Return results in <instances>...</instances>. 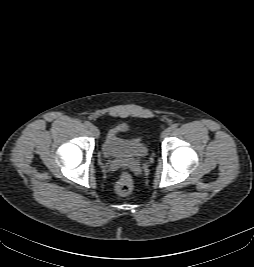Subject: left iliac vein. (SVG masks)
<instances>
[{"instance_id": "left-iliac-vein-1", "label": "left iliac vein", "mask_w": 254, "mask_h": 267, "mask_svg": "<svg viewBox=\"0 0 254 267\" xmlns=\"http://www.w3.org/2000/svg\"><path fill=\"white\" fill-rule=\"evenodd\" d=\"M171 132H172V129H171L170 127H169V128H166V129L162 132L161 137H162V138H165V137L169 136V135L171 134Z\"/></svg>"}]
</instances>
